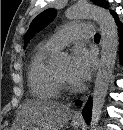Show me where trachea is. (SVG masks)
<instances>
[{
	"label": "trachea",
	"mask_w": 123,
	"mask_h": 130,
	"mask_svg": "<svg viewBox=\"0 0 123 130\" xmlns=\"http://www.w3.org/2000/svg\"><path fill=\"white\" fill-rule=\"evenodd\" d=\"M94 40H100V35L99 34H95Z\"/></svg>",
	"instance_id": "trachea-1"
}]
</instances>
